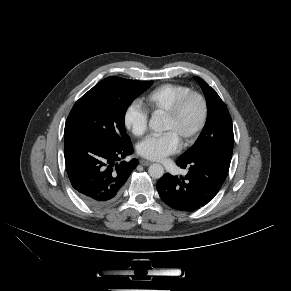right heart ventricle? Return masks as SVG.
Segmentation results:
<instances>
[{
	"label": "right heart ventricle",
	"instance_id": "right-heart-ventricle-1",
	"mask_svg": "<svg viewBox=\"0 0 291 291\" xmlns=\"http://www.w3.org/2000/svg\"><path fill=\"white\" fill-rule=\"evenodd\" d=\"M191 91L187 85L162 84L143 97V107L151 114H165L178 99Z\"/></svg>",
	"mask_w": 291,
	"mask_h": 291
}]
</instances>
